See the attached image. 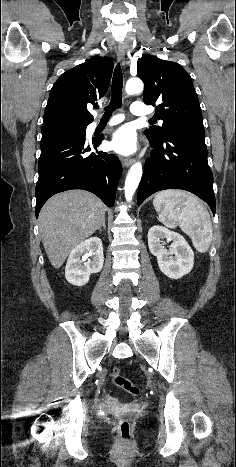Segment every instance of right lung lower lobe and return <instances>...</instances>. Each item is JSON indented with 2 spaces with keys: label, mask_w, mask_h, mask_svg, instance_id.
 Instances as JSON below:
<instances>
[{
  "label": "right lung lower lobe",
  "mask_w": 236,
  "mask_h": 467,
  "mask_svg": "<svg viewBox=\"0 0 236 467\" xmlns=\"http://www.w3.org/2000/svg\"><path fill=\"white\" fill-rule=\"evenodd\" d=\"M103 138H92L89 144L85 136L41 142L39 178L35 189L36 217L51 196L71 189L90 191L107 206H113L122 173L121 162L116 156L102 151L96 150L88 155Z\"/></svg>",
  "instance_id": "right-lung-lower-lobe-1"
}]
</instances>
